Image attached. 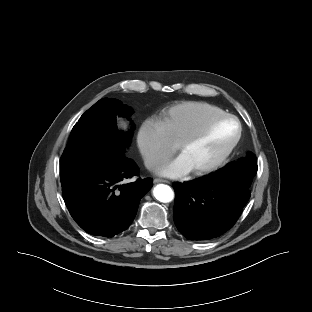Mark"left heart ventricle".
<instances>
[{"label":"left heart ventricle","mask_w":312,"mask_h":312,"mask_svg":"<svg viewBox=\"0 0 312 312\" xmlns=\"http://www.w3.org/2000/svg\"><path fill=\"white\" fill-rule=\"evenodd\" d=\"M236 133V123L233 120H223L215 124L201 139L187 146L181 155L192 169L205 166L228 147Z\"/></svg>","instance_id":"b2bd125f"}]
</instances>
